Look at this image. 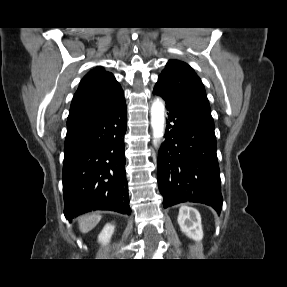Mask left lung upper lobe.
Here are the masks:
<instances>
[{
	"mask_svg": "<svg viewBox=\"0 0 287 287\" xmlns=\"http://www.w3.org/2000/svg\"><path fill=\"white\" fill-rule=\"evenodd\" d=\"M165 97L214 129L204 85L194 70L179 60H169L155 85Z\"/></svg>",
	"mask_w": 287,
	"mask_h": 287,
	"instance_id": "1",
	"label": "left lung upper lobe"
}]
</instances>
